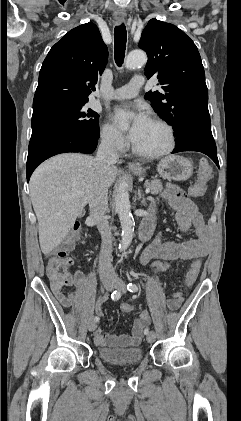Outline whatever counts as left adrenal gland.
<instances>
[{"label": "left adrenal gland", "mask_w": 241, "mask_h": 421, "mask_svg": "<svg viewBox=\"0 0 241 421\" xmlns=\"http://www.w3.org/2000/svg\"><path fill=\"white\" fill-rule=\"evenodd\" d=\"M138 200L141 201V203L146 206V200L144 198V196L142 195V191L139 189L138 190Z\"/></svg>", "instance_id": "obj_1"}]
</instances>
